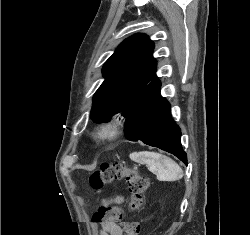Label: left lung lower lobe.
I'll return each instance as SVG.
<instances>
[{
  "label": "left lung lower lobe",
  "mask_w": 250,
  "mask_h": 235,
  "mask_svg": "<svg viewBox=\"0 0 250 235\" xmlns=\"http://www.w3.org/2000/svg\"><path fill=\"white\" fill-rule=\"evenodd\" d=\"M160 85L155 75L134 103L125 133L130 141L140 140L165 150L187 165V155L180 142V129L171 117L169 102L160 94Z\"/></svg>",
  "instance_id": "0a47b994"
}]
</instances>
